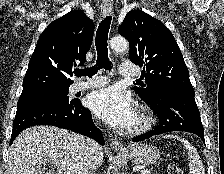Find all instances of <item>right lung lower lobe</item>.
I'll return each mask as SVG.
<instances>
[{
	"label": "right lung lower lobe",
	"mask_w": 224,
	"mask_h": 174,
	"mask_svg": "<svg viewBox=\"0 0 224 174\" xmlns=\"http://www.w3.org/2000/svg\"><path fill=\"white\" fill-rule=\"evenodd\" d=\"M53 125L86 135L104 144L102 132L94 125L90 110L78 99L67 100L62 94L36 91L21 94L13 121L10 144L24 129Z\"/></svg>",
	"instance_id": "obj_1"
}]
</instances>
